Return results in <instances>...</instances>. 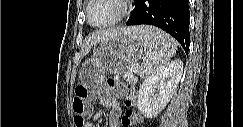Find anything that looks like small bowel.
<instances>
[{"label":"small bowel","mask_w":243,"mask_h":127,"mask_svg":"<svg viewBox=\"0 0 243 127\" xmlns=\"http://www.w3.org/2000/svg\"><path fill=\"white\" fill-rule=\"evenodd\" d=\"M99 105L102 111L96 113L92 120L86 122L85 127H95L96 121L102 117L104 112H107L108 126L119 127L122 109L118 100L110 96L102 97L99 100Z\"/></svg>","instance_id":"obj_1"}]
</instances>
